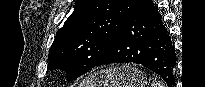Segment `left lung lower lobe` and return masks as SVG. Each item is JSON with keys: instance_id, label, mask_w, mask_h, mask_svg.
I'll return each mask as SVG.
<instances>
[{"instance_id": "obj_1", "label": "left lung lower lobe", "mask_w": 205, "mask_h": 87, "mask_svg": "<svg viewBox=\"0 0 205 87\" xmlns=\"http://www.w3.org/2000/svg\"><path fill=\"white\" fill-rule=\"evenodd\" d=\"M136 63L174 85L176 55L162 16L152 0H136L109 49L97 66Z\"/></svg>"}]
</instances>
